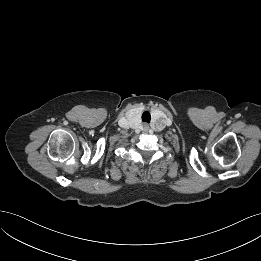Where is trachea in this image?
I'll list each match as a JSON object with an SVG mask.
<instances>
[{
    "mask_svg": "<svg viewBox=\"0 0 261 261\" xmlns=\"http://www.w3.org/2000/svg\"><path fill=\"white\" fill-rule=\"evenodd\" d=\"M151 120V115L148 111L143 112L142 114V121L149 123Z\"/></svg>",
    "mask_w": 261,
    "mask_h": 261,
    "instance_id": "trachea-1",
    "label": "trachea"
}]
</instances>
